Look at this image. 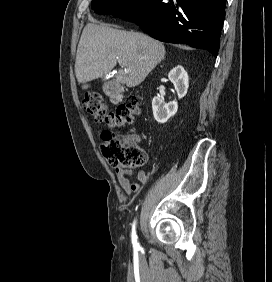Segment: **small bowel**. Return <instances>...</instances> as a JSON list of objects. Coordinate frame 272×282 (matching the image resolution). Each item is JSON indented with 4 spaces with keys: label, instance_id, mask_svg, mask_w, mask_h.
<instances>
[{
    "label": "small bowel",
    "instance_id": "small-bowel-1",
    "mask_svg": "<svg viewBox=\"0 0 272 282\" xmlns=\"http://www.w3.org/2000/svg\"><path fill=\"white\" fill-rule=\"evenodd\" d=\"M128 138L137 145L141 142V137L137 134L130 135ZM115 173L119 183L128 194L140 191L142 185L147 184L150 180V176L143 170H138L135 174H133L131 170L115 169ZM133 175L135 176V181L130 182L128 177Z\"/></svg>",
    "mask_w": 272,
    "mask_h": 282
}]
</instances>
